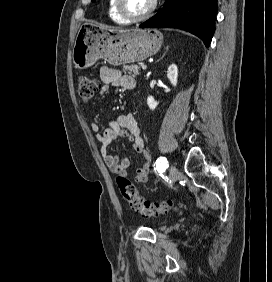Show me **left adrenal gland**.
<instances>
[{
  "label": "left adrenal gland",
  "instance_id": "1",
  "mask_svg": "<svg viewBox=\"0 0 272 282\" xmlns=\"http://www.w3.org/2000/svg\"><path fill=\"white\" fill-rule=\"evenodd\" d=\"M169 46L166 47V51L164 52V54L157 60L160 61L161 59H163V57L166 55V53L168 52Z\"/></svg>",
  "mask_w": 272,
  "mask_h": 282
}]
</instances>
